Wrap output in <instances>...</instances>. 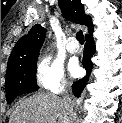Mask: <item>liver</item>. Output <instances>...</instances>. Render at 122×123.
<instances>
[{
  "label": "liver",
  "instance_id": "1",
  "mask_svg": "<svg viewBox=\"0 0 122 123\" xmlns=\"http://www.w3.org/2000/svg\"><path fill=\"white\" fill-rule=\"evenodd\" d=\"M76 120V114L65 112L61 98L39 93L20 100L9 123H75Z\"/></svg>",
  "mask_w": 122,
  "mask_h": 123
}]
</instances>
